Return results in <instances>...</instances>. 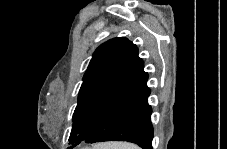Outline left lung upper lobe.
<instances>
[{
    "label": "left lung upper lobe",
    "mask_w": 227,
    "mask_h": 149,
    "mask_svg": "<svg viewBox=\"0 0 227 149\" xmlns=\"http://www.w3.org/2000/svg\"><path fill=\"white\" fill-rule=\"evenodd\" d=\"M140 62L137 46L124 37L108 40L96 49L79 90L69 137L71 148L82 143L112 108Z\"/></svg>",
    "instance_id": "obj_1"
}]
</instances>
